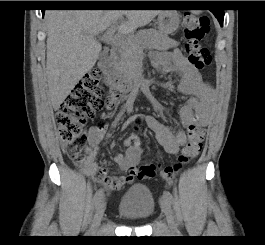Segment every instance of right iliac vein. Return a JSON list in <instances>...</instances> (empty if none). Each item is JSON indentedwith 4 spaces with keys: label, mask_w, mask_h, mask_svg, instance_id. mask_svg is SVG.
<instances>
[{
    "label": "right iliac vein",
    "mask_w": 265,
    "mask_h": 245,
    "mask_svg": "<svg viewBox=\"0 0 265 245\" xmlns=\"http://www.w3.org/2000/svg\"><path fill=\"white\" fill-rule=\"evenodd\" d=\"M104 211H105V202L103 199H101L100 202L96 206L92 226L89 229V231L87 232V236L91 237V236L96 235V231H97V228L99 227V225L101 223Z\"/></svg>",
    "instance_id": "63e3f726"
}]
</instances>
